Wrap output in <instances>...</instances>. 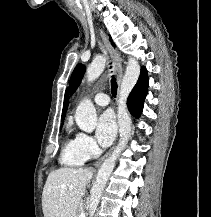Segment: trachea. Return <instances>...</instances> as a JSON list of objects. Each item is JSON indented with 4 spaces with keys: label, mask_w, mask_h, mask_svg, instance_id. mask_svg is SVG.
<instances>
[{
    "label": "trachea",
    "mask_w": 211,
    "mask_h": 217,
    "mask_svg": "<svg viewBox=\"0 0 211 217\" xmlns=\"http://www.w3.org/2000/svg\"><path fill=\"white\" fill-rule=\"evenodd\" d=\"M111 93L115 97L117 95V83L115 77L111 79Z\"/></svg>",
    "instance_id": "trachea-1"
}]
</instances>
